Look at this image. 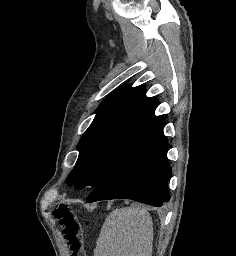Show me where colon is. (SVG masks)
I'll return each instance as SVG.
<instances>
[{
  "label": "colon",
  "mask_w": 236,
  "mask_h": 256,
  "mask_svg": "<svg viewBox=\"0 0 236 256\" xmlns=\"http://www.w3.org/2000/svg\"><path fill=\"white\" fill-rule=\"evenodd\" d=\"M54 217L62 228L63 237L70 250V256H87L76 206L60 202L54 210Z\"/></svg>",
  "instance_id": "1"
}]
</instances>
